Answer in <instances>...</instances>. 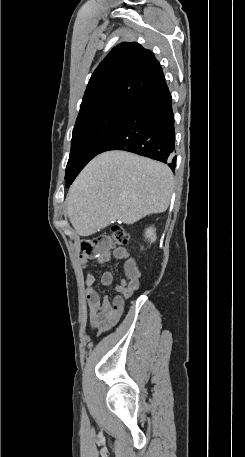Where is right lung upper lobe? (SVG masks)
<instances>
[{
  "label": "right lung upper lobe",
  "instance_id": "obj_1",
  "mask_svg": "<svg viewBox=\"0 0 245 457\" xmlns=\"http://www.w3.org/2000/svg\"><path fill=\"white\" fill-rule=\"evenodd\" d=\"M165 83L159 62L140 44L115 46L92 74L79 114L112 105L130 108L148 91Z\"/></svg>",
  "mask_w": 245,
  "mask_h": 457
}]
</instances>
